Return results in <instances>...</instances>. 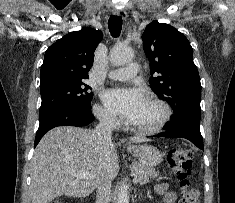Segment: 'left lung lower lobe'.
Returning <instances> with one entry per match:
<instances>
[{
    "mask_svg": "<svg viewBox=\"0 0 235 203\" xmlns=\"http://www.w3.org/2000/svg\"><path fill=\"white\" fill-rule=\"evenodd\" d=\"M200 114L187 112L178 117H173L168 122L163 133L154 135L155 137L185 138L190 140L201 150H204L203 140L200 133Z\"/></svg>",
    "mask_w": 235,
    "mask_h": 203,
    "instance_id": "0a47b994",
    "label": "left lung lower lobe"
}]
</instances>
